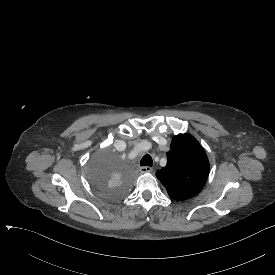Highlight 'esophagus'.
I'll return each mask as SVG.
<instances>
[{
    "label": "esophagus",
    "instance_id": "obj_1",
    "mask_svg": "<svg viewBox=\"0 0 275 275\" xmlns=\"http://www.w3.org/2000/svg\"><path fill=\"white\" fill-rule=\"evenodd\" d=\"M139 171L141 173H149V172L152 171V167H150V166H142V167L139 168Z\"/></svg>",
    "mask_w": 275,
    "mask_h": 275
}]
</instances>
